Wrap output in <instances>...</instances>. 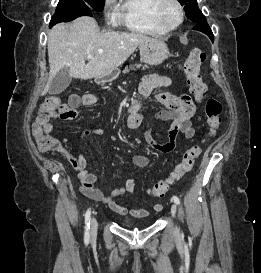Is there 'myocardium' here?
<instances>
[{"label": "myocardium", "instance_id": "obj_1", "mask_svg": "<svg viewBox=\"0 0 261 273\" xmlns=\"http://www.w3.org/2000/svg\"><path fill=\"white\" fill-rule=\"evenodd\" d=\"M172 4L176 6L179 11V20L174 25L167 24L163 19V12L167 5ZM185 12L182 4L178 0H158L157 5L154 8V19L160 27L166 31H173L177 29L184 21Z\"/></svg>", "mask_w": 261, "mask_h": 273}]
</instances>
